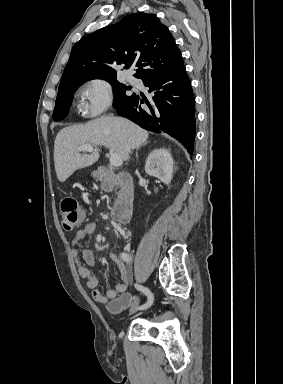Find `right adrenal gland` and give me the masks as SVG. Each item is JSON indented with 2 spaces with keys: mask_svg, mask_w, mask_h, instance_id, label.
I'll use <instances>...</instances> for the list:
<instances>
[{
  "mask_svg": "<svg viewBox=\"0 0 283 384\" xmlns=\"http://www.w3.org/2000/svg\"><path fill=\"white\" fill-rule=\"evenodd\" d=\"M145 144H148V142H145ZM145 144H141V146H145ZM138 150H139V148H137V150H136V158H138V154H137Z\"/></svg>",
  "mask_w": 283,
  "mask_h": 384,
  "instance_id": "1",
  "label": "right adrenal gland"
}]
</instances>
